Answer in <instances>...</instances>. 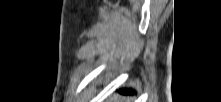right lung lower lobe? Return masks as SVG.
Returning a JSON list of instances; mask_svg holds the SVG:
<instances>
[{"label": "right lung lower lobe", "mask_w": 221, "mask_h": 102, "mask_svg": "<svg viewBox=\"0 0 221 102\" xmlns=\"http://www.w3.org/2000/svg\"><path fill=\"white\" fill-rule=\"evenodd\" d=\"M123 93H133L132 91L122 90Z\"/></svg>", "instance_id": "right-lung-lower-lobe-1"}]
</instances>
